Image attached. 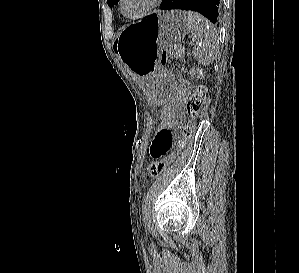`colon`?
Listing matches in <instances>:
<instances>
[{"mask_svg":"<svg viewBox=\"0 0 299 273\" xmlns=\"http://www.w3.org/2000/svg\"><path fill=\"white\" fill-rule=\"evenodd\" d=\"M181 53V46L178 44H168L162 47L161 63L165 64L170 58L177 57ZM200 74V72H199ZM207 90L205 86H198L190 95L188 84L180 78L179 86L171 98V100L161 110L159 119L162 127L173 123L182 111L183 105H186V111L191 121L187 122L182 129V138L177 142V148L164 158L152 162L147 174L151 178L160 176L165 169L176 160L180 150L185 146L186 141L190 139L194 133L195 120L200 114L206 99Z\"/></svg>","mask_w":299,"mask_h":273,"instance_id":"obj_1","label":"colon"}]
</instances>
